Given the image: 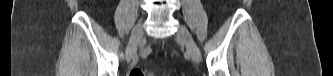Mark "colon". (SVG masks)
Instances as JSON below:
<instances>
[{
    "instance_id": "1",
    "label": "colon",
    "mask_w": 333,
    "mask_h": 76,
    "mask_svg": "<svg viewBox=\"0 0 333 76\" xmlns=\"http://www.w3.org/2000/svg\"><path fill=\"white\" fill-rule=\"evenodd\" d=\"M129 76H145V75H154L153 72H148V73H145L144 71L142 70H139V69H132L129 74Z\"/></svg>"
}]
</instances>
